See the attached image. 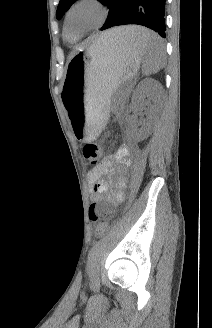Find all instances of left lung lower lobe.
Masks as SVG:
<instances>
[{
    "mask_svg": "<svg viewBox=\"0 0 212 328\" xmlns=\"http://www.w3.org/2000/svg\"><path fill=\"white\" fill-rule=\"evenodd\" d=\"M166 0H106L108 18L101 30L114 26L137 24L148 27L165 38Z\"/></svg>",
    "mask_w": 212,
    "mask_h": 328,
    "instance_id": "0a47b994",
    "label": "left lung lower lobe"
}]
</instances>
